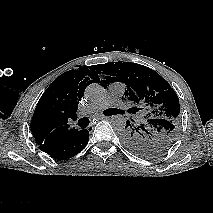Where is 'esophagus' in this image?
I'll use <instances>...</instances> for the list:
<instances>
[{
	"mask_svg": "<svg viewBox=\"0 0 213 213\" xmlns=\"http://www.w3.org/2000/svg\"><path fill=\"white\" fill-rule=\"evenodd\" d=\"M104 118H107V117L106 116H102V115L96 117L97 120H101V119H104ZM90 127H92V126H90ZM90 127L88 129H90Z\"/></svg>",
	"mask_w": 213,
	"mask_h": 213,
	"instance_id": "esophagus-1",
	"label": "esophagus"
}]
</instances>
